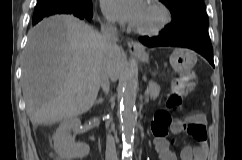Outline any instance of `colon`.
<instances>
[{"mask_svg": "<svg viewBox=\"0 0 242 160\" xmlns=\"http://www.w3.org/2000/svg\"><path fill=\"white\" fill-rule=\"evenodd\" d=\"M195 83V75L193 73L181 76L174 80L172 87L166 97V107L170 110L178 111L181 108L183 97L190 91ZM172 121V117L168 111H159L152 124L153 133L162 134L168 131V126ZM193 138L195 140H201L206 138L204 128L201 125H197L193 132Z\"/></svg>", "mask_w": 242, "mask_h": 160, "instance_id": "colon-1", "label": "colon"}]
</instances>
